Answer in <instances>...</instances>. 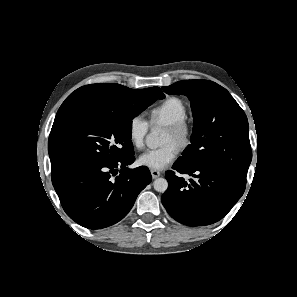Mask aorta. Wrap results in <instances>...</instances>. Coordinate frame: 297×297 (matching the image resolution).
Instances as JSON below:
<instances>
[{"label": "aorta", "mask_w": 297, "mask_h": 297, "mask_svg": "<svg viewBox=\"0 0 297 297\" xmlns=\"http://www.w3.org/2000/svg\"><path fill=\"white\" fill-rule=\"evenodd\" d=\"M146 141L150 147H157L161 141V133L158 129H154L147 135ZM154 189L157 192H165L168 188V182L165 178H157L153 182Z\"/></svg>", "instance_id": "762f6f07"}]
</instances>
